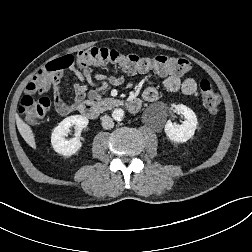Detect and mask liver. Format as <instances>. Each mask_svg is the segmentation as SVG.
Returning <instances> with one entry per match:
<instances>
[{"mask_svg": "<svg viewBox=\"0 0 252 252\" xmlns=\"http://www.w3.org/2000/svg\"><path fill=\"white\" fill-rule=\"evenodd\" d=\"M16 124H17L19 133L21 134L23 139L26 141V143L33 149H36L35 136L33 134L31 127L28 124H26L18 116L16 117Z\"/></svg>", "mask_w": 252, "mask_h": 252, "instance_id": "6515ba94", "label": "liver"}]
</instances>
